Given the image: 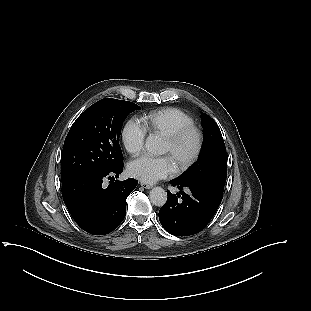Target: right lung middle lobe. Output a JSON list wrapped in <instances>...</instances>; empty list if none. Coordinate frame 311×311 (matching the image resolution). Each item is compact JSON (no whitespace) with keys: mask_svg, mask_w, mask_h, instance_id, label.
I'll use <instances>...</instances> for the list:
<instances>
[{"mask_svg":"<svg viewBox=\"0 0 311 311\" xmlns=\"http://www.w3.org/2000/svg\"><path fill=\"white\" fill-rule=\"evenodd\" d=\"M141 108L135 103L102 99L86 109L73 123L65 139L61 181L88 172L111 171L123 164L119 145L125 118Z\"/></svg>","mask_w":311,"mask_h":311,"instance_id":"obj_1","label":"right lung middle lobe"}]
</instances>
